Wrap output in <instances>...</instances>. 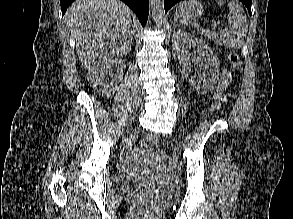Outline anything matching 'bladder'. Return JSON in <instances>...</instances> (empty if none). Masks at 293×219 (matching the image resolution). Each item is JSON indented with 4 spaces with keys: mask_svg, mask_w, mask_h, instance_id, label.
<instances>
[{
    "mask_svg": "<svg viewBox=\"0 0 293 219\" xmlns=\"http://www.w3.org/2000/svg\"><path fill=\"white\" fill-rule=\"evenodd\" d=\"M115 184L123 191L147 194L161 204H170L176 199V192L173 188L125 173L116 176Z\"/></svg>",
    "mask_w": 293,
    "mask_h": 219,
    "instance_id": "obj_1",
    "label": "bladder"
}]
</instances>
